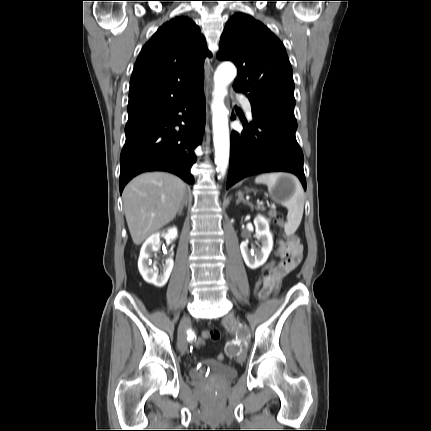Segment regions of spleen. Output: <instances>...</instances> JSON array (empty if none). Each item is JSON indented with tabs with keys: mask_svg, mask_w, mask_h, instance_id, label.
I'll list each match as a JSON object with an SVG mask.
<instances>
[{
	"mask_svg": "<svg viewBox=\"0 0 431 431\" xmlns=\"http://www.w3.org/2000/svg\"><path fill=\"white\" fill-rule=\"evenodd\" d=\"M285 175L287 174H261L255 178V182L266 184L269 188H271L276 184L280 177ZM293 179L296 184L295 192L292 197L285 203L288 209L287 221L284 225L285 233L287 235H292L295 233L301 223L304 211V192L302 186L295 177H293Z\"/></svg>",
	"mask_w": 431,
	"mask_h": 431,
	"instance_id": "spleen-1",
	"label": "spleen"
}]
</instances>
